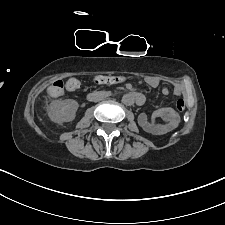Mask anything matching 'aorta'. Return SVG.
<instances>
[{
	"label": "aorta",
	"instance_id": "1",
	"mask_svg": "<svg viewBox=\"0 0 225 225\" xmlns=\"http://www.w3.org/2000/svg\"><path fill=\"white\" fill-rule=\"evenodd\" d=\"M122 103L125 105H132L134 103V98L131 94H125L122 97Z\"/></svg>",
	"mask_w": 225,
	"mask_h": 225
}]
</instances>
